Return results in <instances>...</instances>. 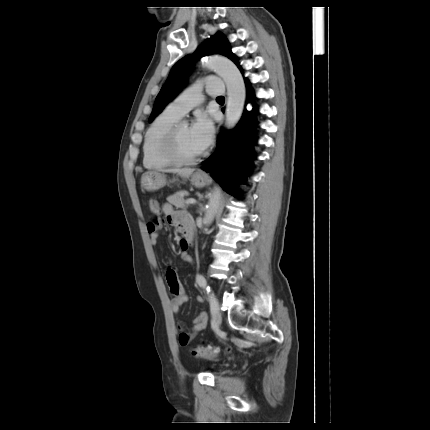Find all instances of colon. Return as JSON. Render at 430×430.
Segmentation results:
<instances>
[{
    "instance_id": "1",
    "label": "colon",
    "mask_w": 430,
    "mask_h": 430,
    "mask_svg": "<svg viewBox=\"0 0 430 430\" xmlns=\"http://www.w3.org/2000/svg\"><path fill=\"white\" fill-rule=\"evenodd\" d=\"M150 211L157 215L159 214L158 202L154 199L149 200ZM220 349L213 346H204L202 344H197L192 348V355L197 358L212 360L219 356Z\"/></svg>"
}]
</instances>
